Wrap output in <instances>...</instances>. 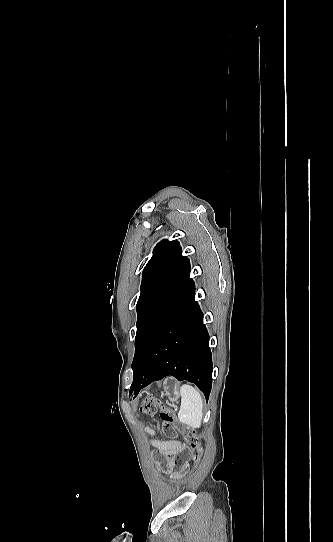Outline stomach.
Listing matches in <instances>:
<instances>
[{"mask_svg": "<svg viewBox=\"0 0 333 542\" xmlns=\"http://www.w3.org/2000/svg\"><path fill=\"white\" fill-rule=\"evenodd\" d=\"M164 396H167L169 402H177L179 398L178 384L174 378H167L163 384Z\"/></svg>", "mask_w": 333, "mask_h": 542, "instance_id": "stomach-1", "label": "stomach"}]
</instances>
